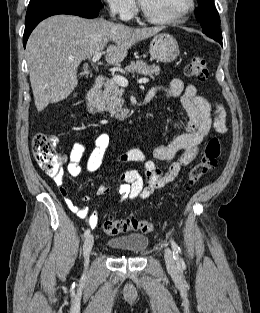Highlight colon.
I'll return each instance as SVG.
<instances>
[{"instance_id": "obj_1", "label": "colon", "mask_w": 260, "mask_h": 313, "mask_svg": "<svg viewBox=\"0 0 260 313\" xmlns=\"http://www.w3.org/2000/svg\"><path fill=\"white\" fill-rule=\"evenodd\" d=\"M189 77L197 81H206L209 77L206 60L202 57H194L186 67ZM57 140L54 136L45 133H37L32 142L34 158L39 167L48 176H60L64 157L56 149ZM221 154V141L218 137H212L206 143L202 157L188 172L186 182L189 186L196 185L201 178L213 170L218 163ZM102 231L107 235H118L130 231L149 233L154 224L149 220H138L134 218L109 219L100 225Z\"/></svg>"}]
</instances>
